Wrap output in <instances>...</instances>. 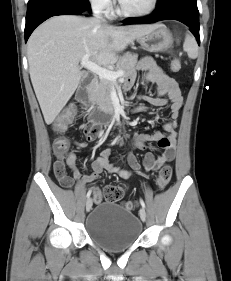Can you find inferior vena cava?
<instances>
[{
  "label": "inferior vena cava",
  "mask_w": 231,
  "mask_h": 281,
  "mask_svg": "<svg viewBox=\"0 0 231 281\" xmlns=\"http://www.w3.org/2000/svg\"><path fill=\"white\" fill-rule=\"evenodd\" d=\"M103 7H104V5L100 2L92 3V11L96 18H98V19L101 18V12H102Z\"/></svg>",
  "instance_id": "obj_1"
}]
</instances>
